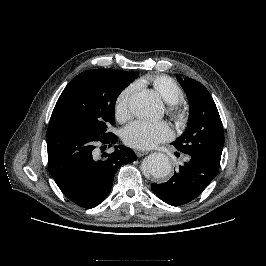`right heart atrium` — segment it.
<instances>
[{
	"instance_id": "obj_1",
	"label": "right heart atrium",
	"mask_w": 266,
	"mask_h": 266,
	"mask_svg": "<svg viewBox=\"0 0 266 266\" xmlns=\"http://www.w3.org/2000/svg\"><path fill=\"white\" fill-rule=\"evenodd\" d=\"M132 87L123 89L117 96L114 104V113L118 121L124 122L130 117V100L132 96Z\"/></svg>"
}]
</instances>
